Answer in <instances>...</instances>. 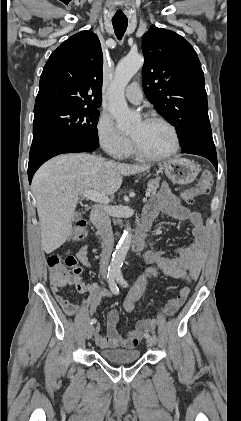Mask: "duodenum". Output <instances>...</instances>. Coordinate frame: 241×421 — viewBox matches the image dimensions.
Wrapping results in <instances>:
<instances>
[{
  "label": "duodenum",
  "mask_w": 241,
  "mask_h": 421,
  "mask_svg": "<svg viewBox=\"0 0 241 421\" xmlns=\"http://www.w3.org/2000/svg\"><path fill=\"white\" fill-rule=\"evenodd\" d=\"M152 221L153 220L151 218L144 217L143 222L141 224V227L137 231V233H136V235L133 239L132 249L134 251H139L143 248L144 243H145V238H146L147 232L149 230V227H150ZM97 236L99 238H102V234H101L100 231L97 233Z\"/></svg>",
  "instance_id": "obj_1"
}]
</instances>
